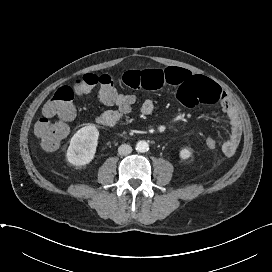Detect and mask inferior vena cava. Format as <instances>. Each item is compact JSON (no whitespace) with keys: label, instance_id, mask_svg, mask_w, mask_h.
<instances>
[{"label":"inferior vena cava","instance_id":"1","mask_svg":"<svg viewBox=\"0 0 272 272\" xmlns=\"http://www.w3.org/2000/svg\"><path fill=\"white\" fill-rule=\"evenodd\" d=\"M118 152L120 155H128L132 152V147L128 144H122L119 146Z\"/></svg>","mask_w":272,"mask_h":272}]
</instances>
